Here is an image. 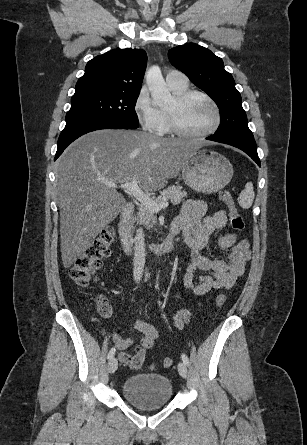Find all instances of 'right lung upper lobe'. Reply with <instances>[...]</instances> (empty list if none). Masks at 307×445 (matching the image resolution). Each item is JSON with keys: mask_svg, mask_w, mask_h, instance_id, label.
<instances>
[{"mask_svg": "<svg viewBox=\"0 0 307 445\" xmlns=\"http://www.w3.org/2000/svg\"><path fill=\"white\" fill-rule=\"evenodd\" d=\"M147 64L142 49H113L90 60L73 96L139 94Z\"/></svg>", "mask_w": 307, "mask_h": 445, "instance_id": "right-lung-upper-lobe-1", "label": "right lung upper lobe"}]
</instances>
